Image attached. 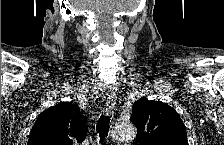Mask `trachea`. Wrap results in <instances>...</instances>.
<instances>
[{
	"instance_id": "1",
	"label": "trachea",
	"mask_w": 224,
	"mask_h": 145,
	"mask_svg": "<svg viewBox=\"0 0 224 145\" xmlns=\"http://www.w3.org/2000/svg\"><path fill=\"white\" fill-rule=\"evenodd\" d=\"M109 124H110V117L102 114V116L99 118V121L97 122V125H96V130L99 133L101 144L103 143V141L108 135Z\"/></svg>"
}]
</instances>
